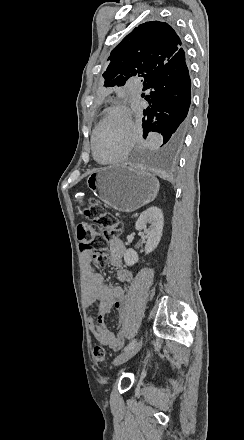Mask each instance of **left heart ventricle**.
<instances>
[{"label":"left heart ventricle","mask_w":244,"mask_h":440,"mask_svg":"<svg viewBox=\"0 0 244 440\" xmlns=\"http://www.w3.org/2000/svg\"><path fill=\"white\" fill-rule=\"evenodd\" d=\"M110 115V122L105 123L97 135L95 141V149L99 159L107 160L118 155V149L121 144V135L119 130L122 129L126 134L132 129L128 117L119 111H113Z\"/></svg>","instance_id":"obj_1"}]
</instances>
